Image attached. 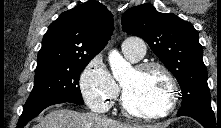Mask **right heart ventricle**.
<instances>
[{
	"label": "right heart ventricle",
	"instance_id": "1",
	"mask_svg": "<svg viewBox=\"0 0 221 128\" xmlns=\"http://www.w3.org/2000/svg\"><path fill=\"white\" fill-rule=\"evenodd\" d=\"M127 57V56H126ZM130 61H133V60H131L129 57H127ZM133 62H135V61H133Z\"/></svg>",
	"mask_w": 221,
	"mask_h": 128
}]
</instances>
